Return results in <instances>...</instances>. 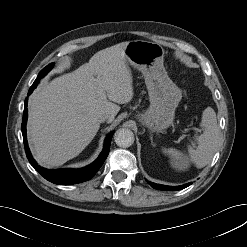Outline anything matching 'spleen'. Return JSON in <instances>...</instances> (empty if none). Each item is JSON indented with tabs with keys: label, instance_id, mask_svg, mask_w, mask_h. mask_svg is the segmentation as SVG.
Segmentation results:
<instances>
[{
	"label": "spleen",
	"instance_id": "spleen-1",
	"mask_svg": "<svg viewBox=\"0 0 247 247\" xmlns=\"http://www.w3.org/2000/svg\"><path fill=\"white\" fill-rule=\"evenodd\" d=\"M201 126L204 131L196 138L198 142L197 148H188L190 159L197 168L205 167L211 161L220 139L216 113L211 107H207L204 110ZM163 152L173 158L176 165L182 163V153L180 151L170 148L164 149Z\"/></svg>",
	"mask_w": 247,
	"mask_h": 247
}]
</instances>
